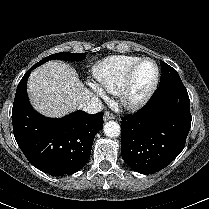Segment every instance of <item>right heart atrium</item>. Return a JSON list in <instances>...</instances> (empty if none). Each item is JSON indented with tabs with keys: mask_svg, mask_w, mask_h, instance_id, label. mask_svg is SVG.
I'll return each instance as SVG.
<instances>
[{
	"mask_svg": "<svg viewBox=\"0 0 209 209\" xmlns=\"http://www.w3.org/2000/svg\"><path fill=\"white\" fill-rule=\"evenodd\" d=\"M90 87L99 95H104L101 88H99L97 85L90 83Z\"/></svg>",
	"mask_w": 209,
	"mask_h": 209,
	"instance_id": "right-heart-atrium-1",
	"label": "right heart atrium"
}]
</instances>
